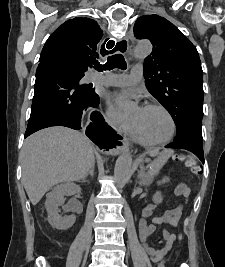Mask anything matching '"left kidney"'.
<instances>
[{"label":"left kidney","mask_w":225,"mask_h":267,"mask_svg":"<svg viewBox=\"0 0 225 267\" xmlns=\"http://www.w3.org/2000/svg\"><path fill=\"white\" fill-rule=\"evenodd\" d=\"M168 181H169V178L165 177V178H163L162 181L158 182V184L166 183ZM162 200H163V198H162L161 193L160 192H156L155 195L153 196V202L156 203V204H159V203L162 202Z\"/></svg>","instance_id":"obj_1"}]
</instances>
